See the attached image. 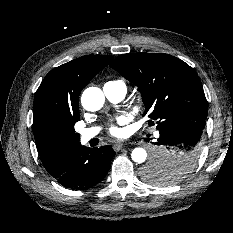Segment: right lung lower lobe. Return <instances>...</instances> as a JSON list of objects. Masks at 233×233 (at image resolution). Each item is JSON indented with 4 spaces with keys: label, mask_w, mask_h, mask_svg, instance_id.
<instances>
[{
    "label": "right lung lower lobe",
    "mask_w": 233,
    "mask_h": 233,
    "mask_svg": "<svg viewBox=\"0 0 233 233\" xmlns=\"http://www.w3.org/2000/svg\"><path fill=\"white\" fill-rule=\"evenodd\" d=\"M115 152L111 146L88 148L77 144L41 157L45 169L64 187L89 189L103 180Z\"/></svg>",
    "instance_id": "1"
}]
</instances>
